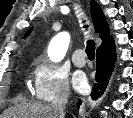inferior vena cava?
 <instances>
[{"label":"inferior vena cava","mask_w":133,"mask_h":118,"mask_svg":"<svg viewBox=\"0 0 133 118\" xmlns=\"http://www.w3.org/2000/svg\"><path fill=\"white\" fill-rule=\"evenodd\" d=\"M69 97L68 90H62L51 103L53 118H64L65 106Z\"/></svg>","instance_id":"inferior-vena-cava-1"}]
</instances>
